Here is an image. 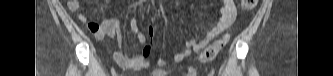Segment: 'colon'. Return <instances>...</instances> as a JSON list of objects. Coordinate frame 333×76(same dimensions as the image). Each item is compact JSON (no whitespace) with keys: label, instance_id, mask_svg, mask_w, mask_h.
<instances>
[{"label":"colon","instance_id":"1","mask_svg":"<svg viewBox=\"0 0 333 76\" xmlns=\"http://www.w3.org/2000/svg\"><path fill=\"white\" fill-rule=\"evenodd\" d=\"M257 0H242L241 7L244 10H251L255 7ZM229 41V35H224L221 39L214 42L211 46L206 48L199 56V61L208 62L213 60L217 54L221 51V49L227 44Z\"/></svg>","mask_w":333,"mask_h":76}]
</instances>
